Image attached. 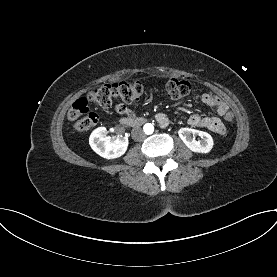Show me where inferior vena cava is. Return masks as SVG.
Wrapping results in <instances>:
<instances>
[{"mask_svg":"<svg viewBox=\"0 0 277 277\" xmlns=\"http://www.w3.org/2000/svg\"><path fill=\"white\" fill-rule=\"evenodd\" d=\"M131 134L135 141H142L146 137L145 132L140 127L133 128Z\"/></svg>","mask_w":277,"mask_h":277,"instance_id":"602c4592","label":"inferior vena cava"}]
</instances>
